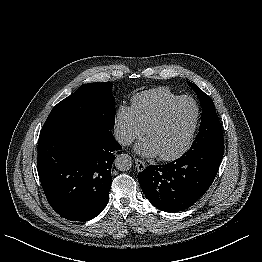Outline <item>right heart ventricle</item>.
Instances as JSON below:
<instances>
[{
  "label": "right heart ventricle",
  "instance_id": "e07e8e85",
  "mask_svg": "<svg viewBox=\"0 0 262 262\" xmlns=\"http://www.w3.org/2000/svg\"><path fill=\"white\" fill-rule=\"evenodd\" d=\"M178 97L180 95L167 87L150 89L132 97L131 109L140 125L146 129L160 111Z\"/></svg>",
  "mask_w": 262,
  "mask_h": 262
}]
</instances>
